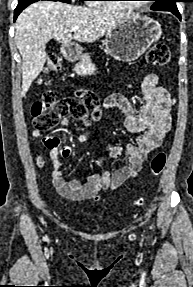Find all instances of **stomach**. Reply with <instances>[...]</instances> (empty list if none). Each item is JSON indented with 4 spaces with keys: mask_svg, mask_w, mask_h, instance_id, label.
I'll use <instances>...</instances> for the list:
<instances>
[{
    "mask_svg": "<svg viewBox=\"0 0 193 287\" xmlns=\"http://www.w3.org/2000/svg\"><path fill=\"white\" fill-rule=\"evenodd\" d=\"M162 28L158 21L146 15H134L117 25L105 37V51L121 62L137 60L155 42L159 41ZM67 59L79 61L74 71L81 76L95 74L96 67L88 53L78 47L62 49Z\"/></svg>",
    "mask_w": 193,
    "mask_h": 287,
    "instance_id": "stomach-1",
    "label": "stomach"
}]
</instances>
